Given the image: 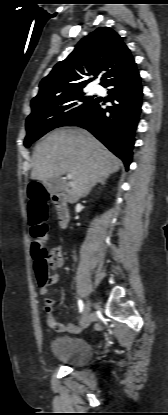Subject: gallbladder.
Listing matches in <instances>:
<instances>
[{
  "label": "gallbladder",
  "instance_id": "bac80fb5",
  "mask_svg": "<svg viewBox=\"0 0 168 415\" xmlns=\"http://www.w3.org/2000/svg\"><path fill=\"white\" fill-rule=\"evenodd\" d=\"M44 186L51 193H57L64 189V181L61 177H52L44 181Z\"/></svg>",
  "mask_w": 168,
  "mask_h": 415
}]
</instances>
